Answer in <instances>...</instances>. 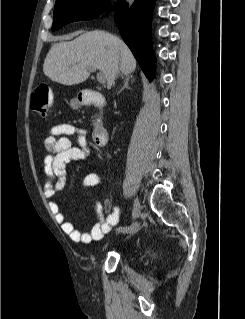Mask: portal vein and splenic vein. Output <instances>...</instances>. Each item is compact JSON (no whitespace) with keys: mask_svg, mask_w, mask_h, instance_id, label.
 Segmentation results:
<instances>
[{"mask_svg":"<svg viewBox=\"0 0 245 319\" xmlns=\"http://www.w3.org/2000/svg\"><path fill=\"white\" fill-rule=\"evenodd\" d=\"M90 71L96 72L97 69L91 68ZM96 77H97V80L99 81V83H105L106 78H105V75L103 72H101V71L97 72Z\"/></svg>","mask_w":245,"mask_h":319,"instance_id":"1","label":"portal vein and splenic vein"}]
</instances>
